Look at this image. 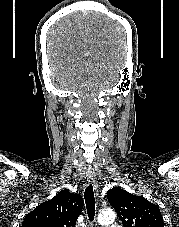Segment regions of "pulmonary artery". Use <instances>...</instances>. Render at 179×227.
Here are the masks:
<instances>
[{"mask_svg": "<svg viewBox=\"0 0 179 227\" xmlns=\"http://www.w3.org/2000/svg\"><path fill=\"white\" fill-rule=\"evenodd\" d=\"M109 227H121L119 224H110Z\"/></svg>", "mask_w": 179, "mask_h": 227, "instance_id": "e3ab8cb5", "label": "pulmonary artery"}]
</instances>
